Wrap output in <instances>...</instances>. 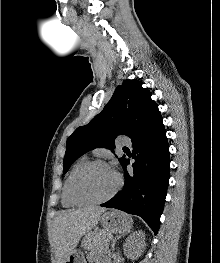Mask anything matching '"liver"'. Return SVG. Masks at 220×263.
Returning a JSON list of instances; mask_svg holds the SVG:
<instances>
[{"label": "liver", "instance_id": "6515ba94", "mask_svg": "<svg viewBox=\"0 0 220 263\" xmlns=\"http://www.w3.org/2000/svg\"><path fill=\"white\" fill-rule=\"evenodd\" d=\"M106 208L88 206L60 212L54 220L53 239L56 263H64L80 239L100 220Z\"/></svg>", "mask_w": 220, "mask_h": 263}]
</instances>
